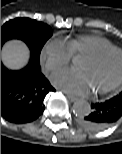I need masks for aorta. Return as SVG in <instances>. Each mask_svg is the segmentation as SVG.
<instances>
[{
  "instance_id": "obj_1",
  "label": "aorta",
  "mask_w": 122,
  "mask_h": 154,
  "mask_svg": "<svg viewBox=\"0 0 122 154\" xmlns=\"http://www.w3.org/2000/svg\"><path fill=\"white\" fill-rule=\"evenodd\" d=\"M91 111V106L86 100H78L73 104V112L78 117H84Z\"/></svg>"
}]
</instances>
